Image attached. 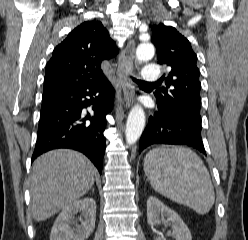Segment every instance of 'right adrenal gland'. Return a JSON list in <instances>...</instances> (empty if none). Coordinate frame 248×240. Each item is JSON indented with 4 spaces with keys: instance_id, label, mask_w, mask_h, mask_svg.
I'll list each match as a JSON object with an SVG mask.
<instances>
[{
    "instance_id": "obj_1",
    "label": "right adrenal gland",
    "mask_w": 248,
    "mask_h": 240,
    "mask_svg": "<svg viewBox=\"0 0 248 240\" xmlns=\"http://www.w3.org/2000/svg\"><path fill=\"white\" fill-rule=\"evenodd\" d=\"M92 192H94V188H92Z\"/></svg>"
}]
</instances>
